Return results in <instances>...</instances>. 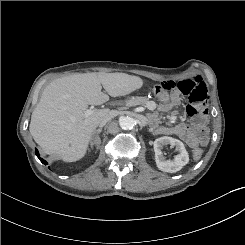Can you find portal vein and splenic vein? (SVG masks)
<instances>
[{
	"label": "portal vein and splenic vein",
	"mask_w": 245,
	"mask_h": 245,
	"mask_svg": "<svg viewBox=\"0 0 245 245\" xmlns=\"http://www.w3.org/2000/svg\"><path fill=\"white\" fill-rule=\"evenodd\" d=\"M94 111V109H87L86 111H85V115L86 116H88V115H90L92 112Z\"/></svg>",
	"instance_id": "obj_1"
}]
</instances>
